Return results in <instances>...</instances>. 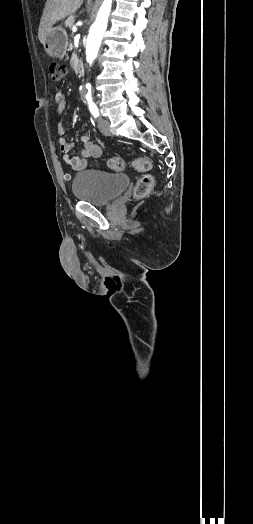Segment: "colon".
<instances>
[{
	"label": "colon",
	"mask_w": 253,
	"mask_h": 524,
	"mask_svg": "<svg viewBox=\"0 0 253 524\" xmlns=\"http://www.w3.org/2000/svg\"><path fill=\"white\" fill-rule=\"evenodd\" d=\"M49 73L53 81H60L67 73V67L60 62H52L49 64ZM108 166L117 172L123 171L125 168V161L121 157H113L108 161ZM132 167L144 174L138 179L135 188L134 196L142 198L147 195L154 186V178L147 173L151 168L150 161L142 158H136L132 161Z\"/></svg>",
	"instance_id": "colon-1"
}]
</instances>
